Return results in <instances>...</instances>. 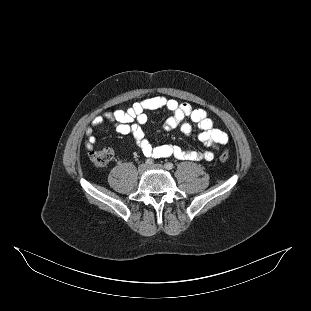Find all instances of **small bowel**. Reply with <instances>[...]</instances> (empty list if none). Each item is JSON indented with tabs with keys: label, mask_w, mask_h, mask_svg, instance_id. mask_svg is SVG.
I'll return each mask as SVG.
<instances>
[{
	"label": "small bowel",
	"mask_w": 311,
	"mask_h": 311,
	"mask_svg": "<svg viewBox=\"0 0 311 311\" xmlns=\"http://www.w3.org/2000/svg\"><path fill=\"white\" fill-rule=\"evenodd\" d=\"M158 109L170 112L164 124V128L168 131L179 127L183 133L189 134L194 124L201 130L199 140L204 146L216 148L228 142V135L214 127L213 121L204 109L193 108L188 103H179L174 99L158 96L139 100L126 110L118 109L96 116L85 130V146L92 149L96 143V128L106 121H112L115 123L116 131L130 135L143 155L149 159L173 156L181 160L208 162L214 158L212 151L184 150L171 144L153 146L147 139L142 125L147 122L146 113Z\"/></svg>",
	"instance_id": "1"
}]
</instances>
